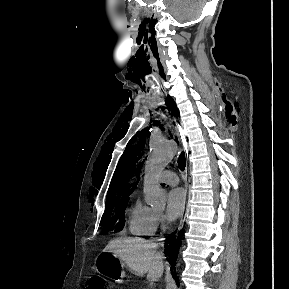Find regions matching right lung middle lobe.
<instances>
[{
    "instance_id": "1",
    "label": "right lung middle lobe",
    "mask_w": 289,
    "mask_h": 289,
    "mask_svg": "<svg viewBox=\"0 0 289 289\" xmlns=\"http://www.w3.org/2000/svg\"><path fill=\"white\" fill-rule=\"evenodd\" d=\"M127 202L125 203L124 207H123V211L121 212V215L119 217V223L115 229V232H118L120 230L123 229L124 227V224H125V219H124V210H125V207L127 205ZM112 209L111 210H108L107 207L105 209V212L102 216V219H101V222H100V225L102 226H105L106 228H108L109 230L112 229L117 221V218H118V215L116 217H112Z\"/></svg>"
}]
</instances>
